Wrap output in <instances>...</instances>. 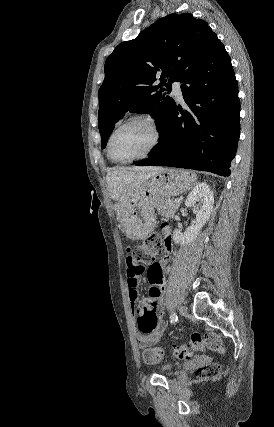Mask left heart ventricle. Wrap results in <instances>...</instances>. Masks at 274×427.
<instances>
[{"label": "left heart ventricle", "instance_id": "left-heart-ventricle-1", "mask_svg": "<svg viewBox=\"0 0 274 427\" xmlns=\"http://www.w3.org/2000/svg\"><path fill=\"white\" fill-rule=\"evenodd\" d=\"M154 141V132L144 121L130 123L117 131L112 140L113 153L128 160L144 153Z\"/></svg>", "mask_w": 274, "mask_h": 427}]
</instances>
